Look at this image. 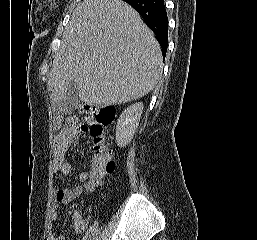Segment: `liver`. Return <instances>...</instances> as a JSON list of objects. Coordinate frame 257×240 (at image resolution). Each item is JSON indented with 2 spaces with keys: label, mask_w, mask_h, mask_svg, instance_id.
Instances as JSON below:
<instances>
[{
  "label": "liver",
  "mask_w": 257,
  "mask_h": 240,
  "mask_svg": "<svg viewBox=\"0 0 257 240\" xmlns=\"http://www.w3.org/2000/svg\"><path fill=\"white\" fill-rule=\"evenodd\" d=\"M162 52L139 14L122 0H84L73 11L48 75L52 104L75 82L86 104L116 105L154 89Z\"/></svg>",
  "instance_id": "obj_1"
}]
</instances>
